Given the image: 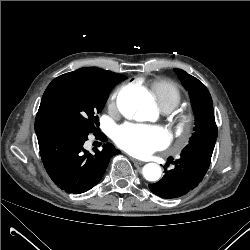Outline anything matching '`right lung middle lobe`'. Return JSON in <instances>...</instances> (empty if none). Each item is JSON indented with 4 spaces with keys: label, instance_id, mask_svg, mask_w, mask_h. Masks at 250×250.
Here are the masks:
<instances>
[{
    "label": "right lung middle lobe",
    "instance_id": "dd1d6c3e",
    "mask_svg": "<svg viewBox=\"0 0 250 250\" xmlns=\"http://www.w3.org/2000/svg\"><path fill=\"white\" fill-rule=\"evenodd\" d=\"M126 77L69 76L49 84L36 116L35 129H74L96 133L100 113L112 88Z\"/></svg>",
    "mask_w": 250,
    "mask_h": 250
}]
</instances>
